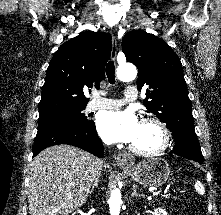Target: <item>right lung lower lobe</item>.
Returning a JSON list of instances; mask_svg holds the SVG:
<instances>
[{"label":"right lung lower lobe","instance_id":"98d812e1","mask_svg":"<svg viewBox=\"0 0 221 215\" xmlns=\"http://www.w3.org/2000/svg\"><path fill=\"white\" fill-rule=\"evenodd\" d=\"M58 144L73 145L97 157L104 156V147L97 135L93 121L85 124H61L38 129L34 141L33 156L49 146Z\"/></svg>","mask_w":221,"mask_h":215}]
</instances>
